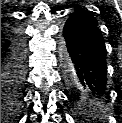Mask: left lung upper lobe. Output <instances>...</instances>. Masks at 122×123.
I'll list each match as a JSON object with an SVG mask.
<instances>
[{"label":"left lung upper lobe","instance_id":"5c2ea615","mask_svg":"<svg viewBox=\"0 0 122 123\" xmlns=\"http://www.w3.org/2000/svg\"><path fill=\"white\" fill-rule=\"evenodd\" d=\"M73 14L85 17L86 19L90 20L91 22H93L94 24L97 25L96 18L86 9H82L81 7H77L75 9V13H73Z\"/></svg>","mask_w":122,"mask_h":123}]
</instances>
